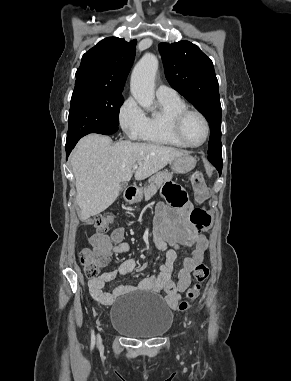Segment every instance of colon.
I'll return each mask as SVG.
<instances>
[{"instance_id":"5ec220e1","label":"colon","mask_w":291,"mask_h":381,"mask_svg":"<svg viewBox=\"0 0 291 381\" xmlns=\"http://www.w3.org/2000/svg\"><path fill=\"white\" fill-rule=\"evenodd\" d=\"M194 192L197 199L203 202L208 195V187L206 185L204 176L201 172H194L190 178ZM167 190V189H166ZM165 190V191H166ZM171 201L175 205H180L183 199L171 197ZM191 223L195 226L196 232L202 234L205 232L211 224V216L204 209L195 208L190 216ZM115 221V215L113 212H103L88 221L89 225L96 228L100 234L105 233ZM80 260L84 267V273L87 278H95L101 267L105 266L109 262V254L105 251H95L93 249L84 248L80 252ZM209 267L204 264H198L193 272L196 283L192 285L186 294V300H183L178 308L180 311H185L188 308L189 301L197 299L201 292V285L207 280L209 276Z\"/></svg>"}]
</instances>
